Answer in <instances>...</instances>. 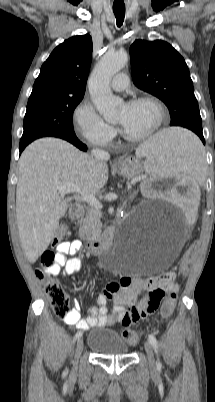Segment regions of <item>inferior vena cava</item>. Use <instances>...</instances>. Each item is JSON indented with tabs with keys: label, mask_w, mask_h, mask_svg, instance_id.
<instances>
[{
	"label": "inferior vena cava",
	"mask_w": 215,
	"mask_h": 402,
	"mask_svg": "<svg viewBox=\"0 0 215 402\" xmlns=\"http://www.w3.org/2000/svg\"><path fill=\"white\" fill-rule=\"evenodd\" d=\"M92 155L100 162H105L110 158V155L108 152L100 149H93L91 151Z\"/></svg>",
	"instance_id": "1"
}]
</instances>
